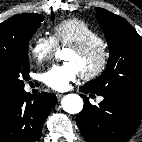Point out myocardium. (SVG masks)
I'll use <instances>...</instances> for the list:
<instances>
[{"mask_svg":"<svg viewBox=\"0 0 142 142\" xmlns=\"http://www.w3.org/2000/svg\"><path fill=\"white\" fill-rule=\"evenodd\" d=\"M71 49L82 57H89L93 55H98L99 57V60L94 68L80 72L83 79H95L106 70L109 63L110 53L107 45L104 42L75 45L71 46Z\"/></svg>","mask_w":142,"mask_h":142,"instance_id":"f54148a6","label":"myocardium"}]
</instances>
